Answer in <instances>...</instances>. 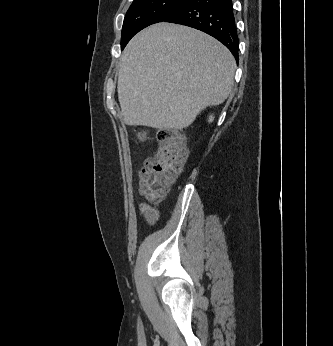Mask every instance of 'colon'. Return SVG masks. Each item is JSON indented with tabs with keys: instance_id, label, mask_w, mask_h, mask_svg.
Returning <instances> with one entry per match:
<instances>
[{
	"instance_id": "colon-1",
	"label": "colon",
	"mask_w": 333,
	"mask_h": 346,
	"mask_svg": "<svg viewBox=\"0 0 333 346\" xmlns=\"http://www.w3.org/2000/svg\"><path fill=\"white\" fill-rule=\"evenodd\" d=\"M145 139L144 134L138 136L139 141ZM158 141L156 152L145 162L140 172V193L149 204L163 201L166 191L181 172L188 154L182 136L175 132L160 131Z\"/></svg>"
}]
</instances>
